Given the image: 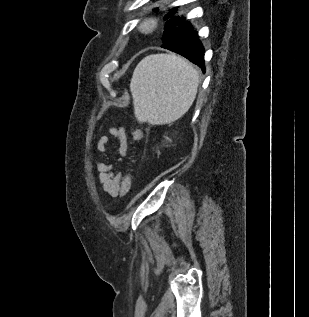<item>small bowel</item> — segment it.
Here are the masks:
<instances>
[{"label":"small bowel","instance_id":"small-bowel-1","mask_svg":"<svg viewBox=\"0 0 309 317\" xmlns=\"http://www.w3.org/2000/svg\"><path fill=\"white\" fill-rule=\"evenodd\" d=\"M109 133L117 141V160L121 161L128 152V140L125 130L122 127H110ZM109 143L110 139L107 136H103L99 139L97 144L98 150L101 152L106 161H96L94 163V167L98 172L97 178L102 191L106 195L115 198L122 194L121 186L123 181V174L122 172L115 170L113 164L109 162L110 158L107 148Z\"/></svg>","mask_w":309,"mask_h":317}]
</instances>
